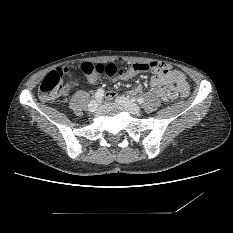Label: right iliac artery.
<instances>
[{"instance_id": "1", "label": "right iliac artery", "mask_w": 233, "mask_h": 233, "mask_svg": "<svg viewBox=\"0 0 233 233\" xmlns=\"http://www.w3.org/2000/svg\"><path fill=\"white\" fill-rule=\"evenodd\" d=\"M103 95H104V90L98 89L97 92L95 93V99L100 101L103 98Z\"/></svg>"}]
</instances>
